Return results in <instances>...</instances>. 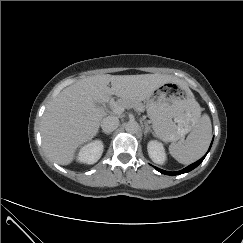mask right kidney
<instances>
[{"mask_svg": "<svg viewBox=\"0 0 243 243\" xmlns=\"http://www.w3.org/2000/svg\"><path fill=\"white\" fill-rule=\"evenodd\" d=\"M103 149L102 141L94 140L80 149L77 160L81 163L94 164L100 159Z\"/></svg>", "mask_w": 243, "mask_h": 243, "instance_id": "1", "label": "right kidney"}]
</instances>
